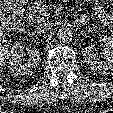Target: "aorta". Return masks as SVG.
<instances>
[{
  "label": "aorta",
  "mask_w": 113,
  "mask_h": 113,
  "mask_svg": "<svg viewBox=\"0 0 113 113\" xmlns=\"http://www.w3.org/2000/svg\"><path fill=\"white\" fill-rule=\"evenodd\" d=\"M73 38V30L68 26L61 27L57 32V39L61 42H69Z\"/></svg>",
  "instance_id": "obj_1"
}]
</instances>
